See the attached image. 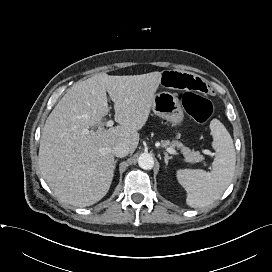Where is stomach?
<instances>
[{"label":"stomach","mask_w":272,"mask_h":272,"mask_svg":"<svg viewBox=\"0 0 272 272\" xmlns=\"http://www.w3.org/2000/svg\"><path fill=\"white\" fill-rule=\"evenodd\" d=\"M153 112L159 117L170 121L174 125L183 121V109L175 94L160 92L155 95L152 106Z\"/></svg>","instance_id":"stomach-1"}]
</instances>
